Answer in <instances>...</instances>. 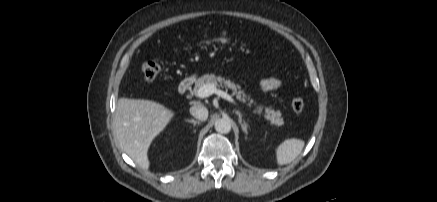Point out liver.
Masks as SVG:
<instances>
[{
	"label": "liver",
	"instance_id": "liver-1",
	"mask_svg": "<svg viewBox=\"0 0 437 202\" xmlns=\"http://www.w3.org/2000/svg\"><path fill=\"white\" fill-rule=\"evenodd\" d=\"M174 116L171 109L151 100L118 99L114 132L121 149L141 168L148 169V149Z\"/></svg>",
	"mask_w": 437,
	"mask_h": 202
}]
</instances>
